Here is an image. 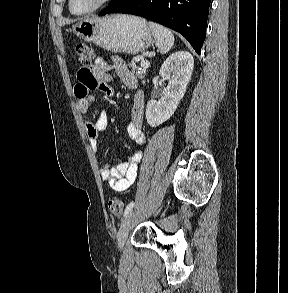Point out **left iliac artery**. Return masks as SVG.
Masks as SVG:
<instances>
[{"label":"left iliac artery","mask_w":288,"mask_h":293,"mask_svg":"<svg viewBox=\"0 0 288 293\" xmlns=\"http://www.w3.org/2000/svg\"><path fill=\"white\" fill-rule=\"evenodd\" d=\"M133 207H134V202H130V203L126 206V209H125V212H124V216H126V215L132 210Z\"/></svg>","instance_id":"obj_1"}]
</instances>
